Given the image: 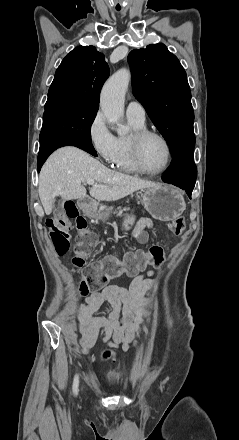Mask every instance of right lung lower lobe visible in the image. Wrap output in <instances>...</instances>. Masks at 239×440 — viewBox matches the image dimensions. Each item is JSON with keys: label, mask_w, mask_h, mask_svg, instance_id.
Masks as SVG:
<instances>
[{"label": "right lung lower lobe", "mask_w": 239, "mask_h": 440, "mask_svg": "<svg viewBox=\"0 0 239 440\" xmlns=\"http://www.w3.org/2000/svg\"><path fill=\"white\" fill-rule=\"evenodd\" d=\"M67 145L79 147L87 151L88 153L92 154L93 156H97V153L92 145L91 140L82 136H75V135L59 137L48 141L43 146H40V151L37 161L38 171H40L41 166L54 150H56L59 147L67 146Z\"/></svg>", "instance_id": "obj_1"}]
</instances>
